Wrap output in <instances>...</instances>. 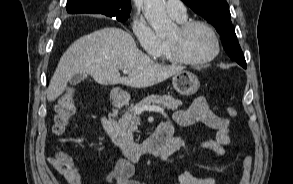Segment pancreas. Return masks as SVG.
<instances>
[{
    "instance_id": "cf45deb5",
    "label": "pancreas",
    "mask_w": 293,
    "mask_h": 184,
    "mask_svg": "<svg viewBox=\"0 0 293 184\" xmlns=\"http://www.w3.org/2000/svg\"><path fill=\"white\" fill-rule=\"evenodd\" d=\"M157 104L168 110H177L181 101L174 99L170 95H150L142 99L140 102L135 105L130 106L122 117L118 120V130L121 134L133 139V133L138 130V125H140V119L136 115V108L145 105Z\"/></svg>"
}]
</instances>
